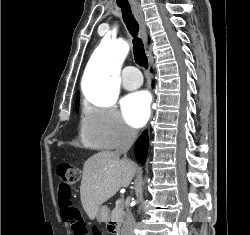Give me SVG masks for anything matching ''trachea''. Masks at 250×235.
Segmentation results:
<instances>
[{"instance_id": "3493384b", "label": "trachea", "mask_w": 250, "mask_h": 235, "mask_svg": "<svg viewBox=\"0 0 250 235\" xmlns=\"http://www.w3.org/2000/svg\"><path fill=\"white\" fill-rule=\"evenodd\" d=\"M122 11V17L123 21L130 32V34L133 37V54H134V59L136 63L147 69L148 68V59L145 54V49H144V44L141 40V38L138 37V32H139V24L137 20L135 19L131 7L128 6H122L119 5Z\"/></svg>"}]
</instances>
